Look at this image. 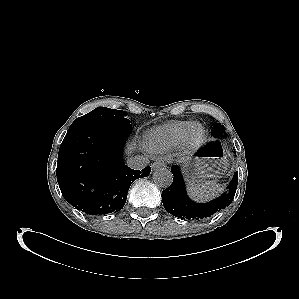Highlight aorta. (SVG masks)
I'll use <instances>...</instances> for the list:
<instances>
[{
  "label": "aorta",
  "instance_id": "aorta-1",
  "mask_svg": "<svg viewBox=\"0 0 299 299\" xmlns=\"http://www.w3.org/2000/svg\"><path fill=\"white\" fill-rule=\"evenodd\" d=\"M153 180L161 187H168L173 181V174L167 168H160L153 174Z\"/></svg>",
  "mask_w": 299,
  "mask_h": 299
}]
</instances>
